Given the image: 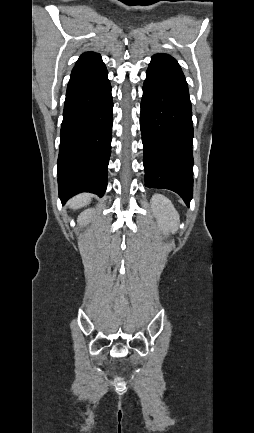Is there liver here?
Returning a JSON list of instances; mask_svg holds the SVG:
<instances>
[{
	"label": "liver",
	"mask_w": 254,
	"mask_h": 433,
	"mask_svg": "<svg viewBox=\"0 0 254 433\" xmlns=\"http://www.w3.org/2000/svg\"><path fill=\"white\" fill-rule=\"evenodd\" d=\"M91 200L90 194H81L73 198L70 202V207L73 209H78L82 206L87 205Z\"/></svg>",
	"instance_id": "obj_1"
}]
</instances>
